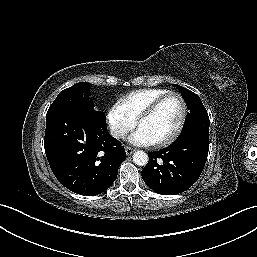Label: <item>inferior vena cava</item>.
Here are the masks:
<instances>
[{
    "label": "inferior vena cava",
    "instance_id": "obj_1",
    "mask_svg": "<svg viewBox=\"0 0 257 257\" xmlns=\"http://www.w3.org/2000/svg\"><path fill=\"white\" fill-rule=\"evenodd\" d=\"M110 134L115 138H125L127 135V132L120 129H112L110 131Z\"/></svg>",
    "mask_w": 257,
    "mask_h": 257
}]
</instances>
